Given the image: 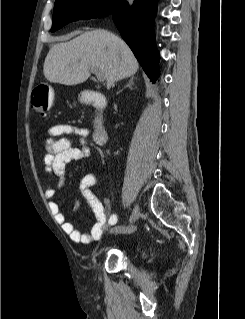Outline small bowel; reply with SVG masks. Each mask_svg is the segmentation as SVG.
Returning a JSON list of instances; mask_svg holds the SVG:
<instances>
[{
  "label": "small bowel",
  "instance_id": "obj_1",
  "mask_svg": "<svg viewBox=\"0 0 245 319\" xmlns=\"http://www.w3.org/2000/svg\"><path fill=\"white\" fill-rule=\"evenodd\" d=\"M64 135H74L78 138L79 147H73ZM90 137V130L70 124H59L49 128L45 141L46 154L44 165L48 174L58 178L57 187L64 184L66 165L72 161L86 160L90 156V149L86 145ZM99 177L94 173L82 176L78 182L80 193L88 202L96 222L91 228L90 233H82L76 229L75 225L68 221L66 215L61 211L60 206L55 201L49 202V207L56 220L62 225V229L75 243L89 244L99 240L110 226L116 224L117 214L110 213V203L105 201L104 205L99 202L90 188L98 184ZM43 194L47 199L54 195V189L46 185ZM74 210L80 211L78 201L74 203Z\"/></svg>",
  "mask_w": 245,
  "mask_h": 319
}]
</instances>
